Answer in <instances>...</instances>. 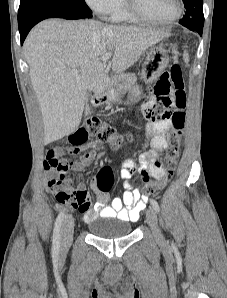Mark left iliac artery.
<instances>
[{
    "label": "left iliac artery",
    "mask_w": 227,
    "mask_h": 298,
    "mask_svg": "<svg viewBox=\"0 0 227 298\" xmlns=\"http://www.w3.org/2000/svg\"><path fill=\"white\" fill-rule=\"evenodd\" d=\"M151 205L153 207V209L156 211V212H159L160 211V207H159V204L156 200L152 199L151 200Z\"/></svg>",
    "instance_id": "left-iliac-artery-1"
}]
</instances>
